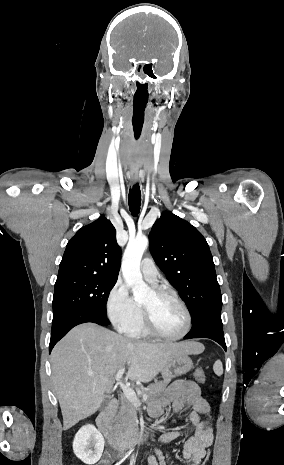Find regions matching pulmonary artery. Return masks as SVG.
<instances>
[{"mask_svg": "<svg viewBox=\"0 0 284 465\" xmlns=\"http://www.w3.org/2000/svg\"><path fill=\"white\" fill-rule=\"evenodd\" d=\"M141 275L142 277L150 283H157L159 272L154 263L148 261L147 258L141 264Z\"/></svg>", "mask_w": 284, "mask_h": 465, "instance_id": "1", "label": "pulmonary artery"}]
</instances>
